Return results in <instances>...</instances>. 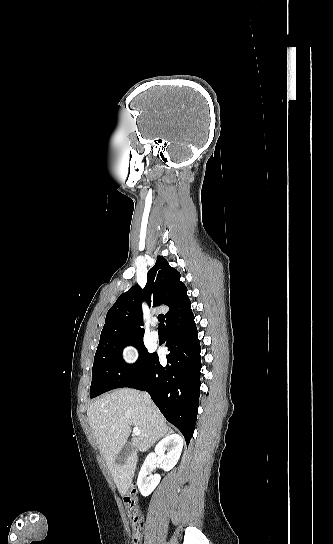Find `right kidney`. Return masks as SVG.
I'll return each mask as SVG.
<instances>
[{
  "mask_svg": "<svg viewBox=\"0 0 333 544\" xmlns=\"http://www.w3.org/2000/svg\"><path fill=\"white\" fill-rule=\"evenodd\" d=\"M182 448L181 436L172 434L162 439L156 445L154 452L146 457L137 480L138 489L143 496L150 495L161 480L160 475H151L156 463H160L165 472L171 470L177 464ZM166 451L167 454H165Z\"/></svg>",
  "mask_w": 333,
  "mask_h": 544,
  "instance_id": "ca27d5eb",
  "label": "right kidney"
}]
</instances>
